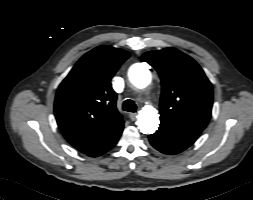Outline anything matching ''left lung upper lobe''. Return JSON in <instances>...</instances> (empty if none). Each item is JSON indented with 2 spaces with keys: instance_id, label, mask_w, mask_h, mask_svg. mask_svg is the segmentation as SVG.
I'll use <instances>...</instances> for the list:
<instances>
[{
  "instance_id": "5c2ea615",
  "label": "left lung upper lobe",
  "mask_w": 253,
  "mask_h": 200,
  "mask_svg": "<svg viewBox=\"0 0 253 200\" xmlns=\"http://www.w3.org/2000/svg\"><path fill=\"white\" fill-rule=\"evenodd\" d=\"M142 59L161 78L160 118L203 131L211 117L213 91L197 62L172 47L146 52Z\"/></svg>"
}]
</instances>
